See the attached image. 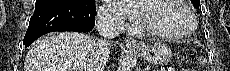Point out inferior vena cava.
<instances>
[{
  "label": "inferior vena cava",
  "mask_w": 230,
  "mask_h": 71,
  "mask_svg": "<svg viewBox=\"0 0 230 71\" xmlns=\"http://www.w3.org/2000/svg\"><path fill=\"white\" fill-rule=\"evenodd\" d=\"M96 30L100 38L92 39L90 59L85 71H104L110 50L109 40L119 36L123 31V23L108 13L98 12Z\"/></svg>",
  "instance_id": "inferior-vena-cava-1"
}]
</instances>
